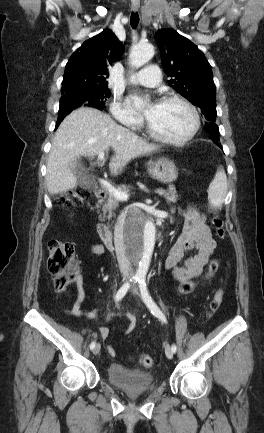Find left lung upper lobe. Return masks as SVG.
Instances as JSON below:
<instances>
[{"label":"left lung upper lobe","instance_id":"obj_1","mask_svg":"<svg viewBox=\"0 0 264 433\" xmlns=\"http://www.w3.org/2000/svg\"><path fill=\"white\" fill-rule=\"evenodd\" d=\"M169 85L203 112L207 133L219 141L216 121L215 85L212 69L204 54L190 40L173 29L155 35Z\"/></svg>","mask_w":264,"mask_h":433}]
</instances>
